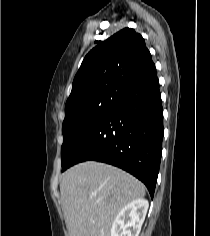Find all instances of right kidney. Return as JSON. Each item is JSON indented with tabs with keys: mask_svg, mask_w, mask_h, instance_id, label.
Returning <instances> with one entry per match:
<instances>
[{
	"mask_svg": "<svg viewBox=\"0 0 210 236\" xmlns=\"http://www.w3.org/2000/svg\"><path fill=\"white\" fill-rule=\"evenodd\" d=\"M148 207L149 203L145 199L128 203L114 219L110 236H138Z\"/></svg>",
	"mask_w": 210,
	"mask_h": 236,
	"instance_id": "obj_1",
	"label": "right kidney"
}]
</instances>
